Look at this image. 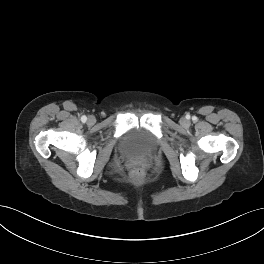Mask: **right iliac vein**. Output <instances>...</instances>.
Returning <instances> with one entry per match:
<instances>
[{
  "instance_id": "obj_1",
  "label": "right iliac vein",
  "mask_w": 264,
  "mask_h": 264,
  "mask_svg": "<svg viewBox=\"0 0 264 264\" xmlns=\"http://www.w3.org/2000/svg\"><path fill=\"white\" fill-rule=\"evenodd\" d=\"M88 123H89V124H94V123H95V118H94L93 116H90V117L88 118Z\"/></svg>"
}]
</instances>
